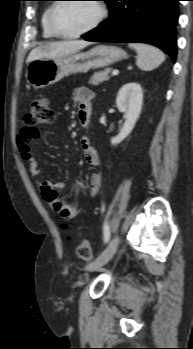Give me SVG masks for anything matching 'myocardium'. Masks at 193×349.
<instances>
[{
	"instance_id": "myocardium-1",
	"label": "myocardium",
	"mask_w": 193,
	"mask_h": 349,
	"mask_svg": "<svg viewBox=\"0 0 193 349\" xmlns=\"http://www.w3.org/2000/svg\"><path fill=\"white\" fill-rule=\"evenodd\" d=\"M91 1L94 2L99 9L98 17L87 28L80 30L76 33H72V34L62 33L55 26V22H54L55 12L58 9V7L61 4H63L64 2L62 0H58L57 2L53 3L52 6L50 7V10L48 12V17H47V23H48V27H49V30L51 31V33L55 37H58L61 39H75V38H79V37L91 32V31H93L94 29H96L107 17L108 11H107V7H106L104 2H102L100 0H91Z\"/></svg>"
}]
</instances>
